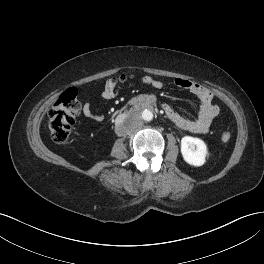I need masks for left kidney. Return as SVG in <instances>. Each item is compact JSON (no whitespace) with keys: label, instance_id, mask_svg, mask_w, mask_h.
Returning <instances> with one entry per match:
<instances>
[{"label":"left kidney","instance_id":"obj_1","mask_svg":"<svg viewBox=\"0 0 264 264\" xmlns=\"http://www.w3.org/2000/svg\"><path fill=\"white\" fill-rule=\"evenodd\" d=\"M181 153L188 164L199 167L205 163L208 151L203 140L185 136L181 139Z\"/></svg>","mask_w":264,"mask_h":264}]
</instances>
